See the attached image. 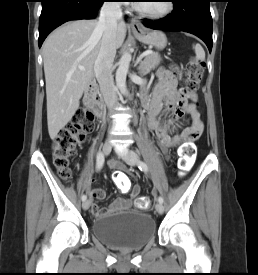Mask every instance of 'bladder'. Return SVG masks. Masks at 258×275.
Segmentation results:
<instances>
[{"mask_svg": "<svg viewBox=\"0 0 258 275\" xmlns=\"http://www.w3.org/2000/svg\"><path fill=\"white\" fill-rule=\"evenodd\" d=\"M92 233L115 248L137 249L154 238L156 224L149 214L128 209L96 218Z\"/></svg>", "mask_w": 258, "mask_h": 275, "instance_id": "31cf9c89", "label": "bladder"}]
</instances>
